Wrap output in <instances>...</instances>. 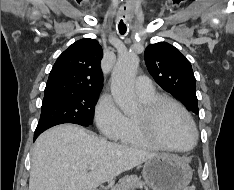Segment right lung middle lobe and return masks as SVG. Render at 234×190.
Segmentation results:
<instances>
[{"label": "right lung middle lobe", "instance_id": "dd1d6c3e", "mask_svg": "<svg viewBox=\"0 0 234 190\" xmlns=\"http://www.w3.org/2000/svg\"><path fill=\"white\" fill-rule=\"evenodd\" d=\"M41 117L35 132L62 124L89 126L93 123L94 109L100 92L62 88H45Z\"/></svg>", "mask_w": 234, "mask_h": 190}]
</instances>
